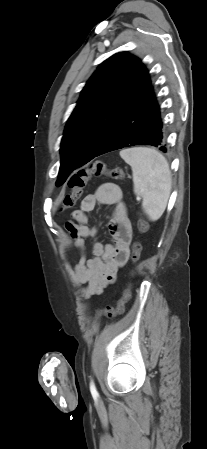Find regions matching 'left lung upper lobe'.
I'll use <instances>...</instances> for the list:
<instances>
[{"label": "left lung upper lobe", "mask_w": 207, "mask_h": 449, "mask_svg": "<svg viewBox=\"0 0 207 449\" xmlns=\"http://www.w3.org/2000/svg\"><path fill=\"white\" fill-rule=\"evenodd\" d=\"M150 87L147 69L127 52L116 53L100 64L66 124L56 186L95 157L110 132Z\"/></svg>", "instance_id": "obj_1"}]
</instances>
